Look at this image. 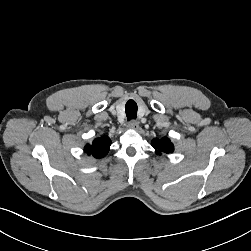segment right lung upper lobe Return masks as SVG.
I'll use <instances>...</instances> for the list:
<instances>
[{
	"instance_id": "obj_1",
	"label": "right lung upper lobe",
	"mask_w": 251,
	"mask_h": 251,
	"mask_svg": "<svg viewBox=\"0 0 251 251\" xmlns=\"http://www.w3.org/2000/svg\"><path fill=\"white\" fill-rule=\"evenodd\" d=\"M111 145V140L107 136L96 138L92 144H87L84 147L85 153L87 155H92L93 157L99 159L107 155Z\"/></svg>"
}]
</instances>
